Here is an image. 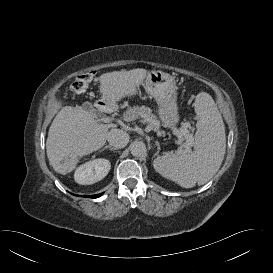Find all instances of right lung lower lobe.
<instances>
[{
	"label": "right lung lower lobe",
	"instance_id": "1",
	"mask_svg": "<svg viewBox=\"0 0 273 273\" xmlns=\"http://www.w3.org/2000/svg\"><path fill=\"white\" fill-rule=\"evenodd\" d=\"M102 194H103V193H101V194H97V195H91V196H87V195H85L84 197L98 198V197L102 196Z\"/></svg>",
	"mask_w": 273,
	"mask_h": 273
}]
</instances>
